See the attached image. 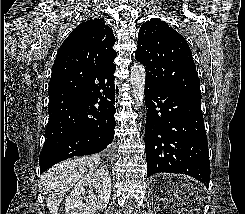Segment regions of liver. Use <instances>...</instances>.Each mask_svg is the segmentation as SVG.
<instances>
[{
	"instance_id": "liver-1",
	"label": "liver",
	"mask_w": 245,
	"mask_h": 214,
	"mask_svg": "<svg viewBox=\"0 0 245 214\" xmlns=\"http://www.w3.org/2000/svg\"><path fill=\"white\" fill-rule=\"evenodd\" d=\"M98 155L75 158L63 161L42 175V185L46 197V205L51 214H57L66 192L87 173L100 164Z\"/></svg>"
}]
</instances>
